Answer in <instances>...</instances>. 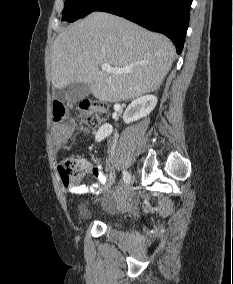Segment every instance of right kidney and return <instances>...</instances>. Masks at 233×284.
<instances>
[{
	"label": "right kidney",
	"mask_w": 233,
	"mask_h": 284,
	"mask_svg": "<svg viewBox=\"0 0 233 284\" xmlns=\"http://www.w3.org/2000/svg\"><path fill=\"white\" fill-rule=\"evenodd\" d=\"M157 97L155 95H145L133 100L124 112L123 120L129 124L140 118L146 117L155 108ZM112 126L108 123L102 125L95 135L97 142L102 141L112 133Z\"/></svg>",
	"instance_id": "ca27d5eb"
}]
</instances>
